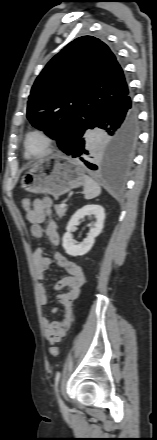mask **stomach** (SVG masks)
<instances>
[{
  "label": "stomach",
  "mask_w": 157,
  "mask_h": 440,
  "mask_svg": "<svg viewBox=\"0 0 157 440\" xmlns=\"http://www.w3.org/2000/svg\"><path fill=\"white\" fill-rule=\"evenodd\" d=\"M84 184V168L80 162L54 154L33 163L21 179V187L28 192L63 195Z\"/></svg>",
  "instance_id": "stomach-1"
}]
</instances>
